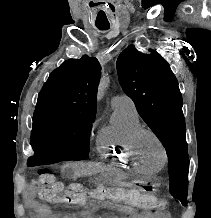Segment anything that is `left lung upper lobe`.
<instances>
[{
    "label": "left lung upper lobe",
    "mask_w": 211,
    "mask_h": 218,
    "mask_svg": "<svg viewBox=\"0 0 211 218\" xmlns=\"http://www.w3.org/2000/svg\"><path fill=\"white\" fill-rule=\"evenodd\" d=\"M149 51V55L142 54L131 45L119 55V82L139 115L166 148L170 193L185 202L189 159L182 96L167 61L156 51Z\"/></svg>",
    "instance_id": "1"
}]
</instances>
